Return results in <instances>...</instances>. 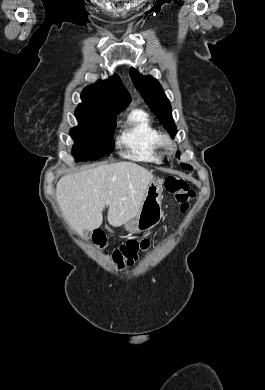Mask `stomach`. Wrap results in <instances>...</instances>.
<instances>
[{
  "label": "stomach",
  "instance_id": "1",
  "mask_svg": "<svg viewBox=\"0 0 265 390\" xmlns=\"http://www.w3.org/2000/svg\"><path fill=\"white\" fill-rule=\"evenodd\" d=\"M162 182L153 179L148 185L138 215L124 224L128 232L140 233L155 227L162 218Z\"/></svg>",
  "mask_w": 265,
  "mask_h": 390
}]
</instances>
